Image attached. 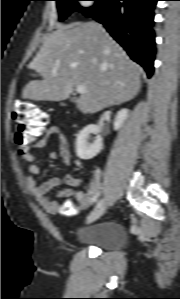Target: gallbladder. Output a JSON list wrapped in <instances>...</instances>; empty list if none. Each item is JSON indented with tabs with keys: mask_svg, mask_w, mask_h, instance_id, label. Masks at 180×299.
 I'll list each match as a JSON object with an SVG mask.
<instances>
[{
	"mask_svg": "<svg viewBox=\"0 0 180 299\" xmlns=\"http://www.w3.org/2000/svg\"><path fill=\"white\" fill-rule=\"evenodd\" d=\"M76 100H77L76 98H71L72 102H76Z\"/></svg>",
	"mask_w": 180,
	"mask_h": 299,
	"instance_id": "gallbladder-1",
	"label": "gallbladder"
}]
</instances>
